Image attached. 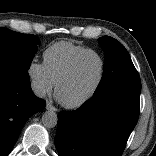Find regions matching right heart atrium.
I'll return each instance as SVG.
<instances>
[{"label": "right heart atrium", "mask_w": 156, "mask_h": 156, "mask_svg": "<svg viewBox=\"0 0 156 156\" xmlns=\"http://www.w3.org/2000/svg\"><path fill=\"white\" fill-rule=\"evenodd\" d=\"M27 74L36 95L43 97L52 92L55 83L49 76L44 63L31 61L28 65Z\"/></svg>", "instance_id": "d8ad5b80"}]
</instances>
